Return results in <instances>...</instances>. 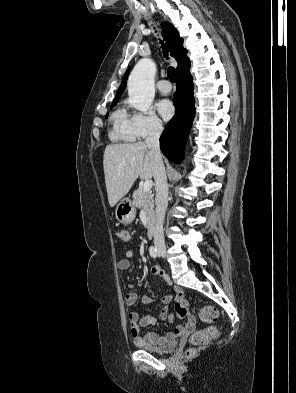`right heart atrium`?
Returning a JSON list of instances; mask_svg holds the SVG:
<instances>
[{
    "label": "right heart atrium",
    "instance_id": "d8ad5b80",
    "mask_svg": "<svg viewBox=\"0 0 296 393\" xmlns=\"http://www.w3.org/2000/svg\"><path fill=\"white\" fill-rule=\"evenodd\" d=\"M131 119L137 139L159 135L163 130V123L154 112H136Z\"/></svg>",
    "mask_w": 296,
    "mask_h": 393
}]
</instances>
